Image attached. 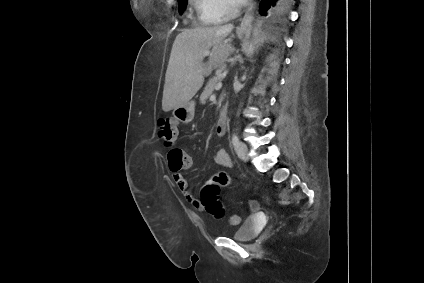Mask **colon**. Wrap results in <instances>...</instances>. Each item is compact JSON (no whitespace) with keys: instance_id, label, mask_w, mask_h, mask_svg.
<instances>
[{"instance_id":"colon-1","label":"colon","mask_w":424,"mask_h":283,"mask_svg":"<svg viewBox=\"0 0 424 283\" xmlns=\"http://www.w3.org/2000/svg\"><path fill=\"white\" fill-rule=\"evenodd\" d=\"M159 136L170 147L168 152L169 168L172 172L180 171L189 166L188 155L180 148L171 147L178 136L176 121L172 117H163L158 120ZM231 184L230 176L225 172H218L205 182L201 189V204L205 210L216 218H223L225 210L219 200L222 187ZM231 225H237L240 221L238 215L228 218Z\"/></svg>"}]
</instances>
